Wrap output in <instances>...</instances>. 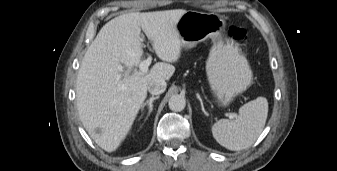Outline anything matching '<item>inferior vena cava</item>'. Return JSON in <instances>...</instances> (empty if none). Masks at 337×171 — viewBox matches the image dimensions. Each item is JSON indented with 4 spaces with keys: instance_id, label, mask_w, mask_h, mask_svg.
<instances>
[{
    "instance_id": "obj_1",
    "label": "inferior vena cava",
    "mask_w": 337,
    "mask_h": 171,
    "mask_svg": "<svg viewBox=\"0 0 337 171\" xmlns=\"http://www.w3.org/2000/svg\"><path fill=\"white\" fill-rule=\"evenodd\" d=\"M166 82L163 79L152 80L148 85V91L152 95H159L166 90Z\"/></svg>"
}]
</instances>
